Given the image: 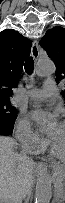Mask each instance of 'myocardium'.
I'll return each instance as SVG.
<instances>
[{
	"instance_id": "f54148a6",
	"label": "myocardium",
	"mask_w": 65,
	"mask_h": 203,
	"mask_svg": "<svg viewBox=\"0 0 65 203\" xmlns=\"http://www.w3.org/2000/svg\"><path fill=\"white\" fill-rule=\"evenodd\" d=\"M47 146H48L49 152L52 156H54L56 158H64L65 157V153H59L55 150L50 139L47 140Z\"/></svg>"
}]
</instances>
